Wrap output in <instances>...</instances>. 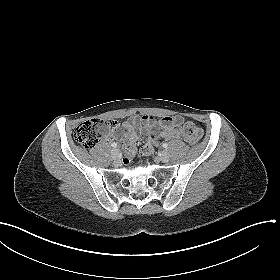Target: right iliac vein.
<instances>
[{
	"label": "right iliac vein",
	"mask_w": 280,
	"mask_h": 280,
	"mask_svg": "<svg viewBox=\"0 0 280 280\" xmlns=\"http://www.w3.org/2000/svg\"><path fill=\"white\" fill-rule=\"evenodd\" d=\"M111 155H112V158H113L115 161H118L119 155H120L119 150H118V149H113V150L111 151Z\"/></svg>",
	"instance_id": "63e3f726"
}]
</instances>
